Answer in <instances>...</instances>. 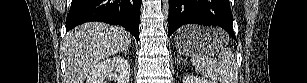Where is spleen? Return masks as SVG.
I'll return each instance as SVG.
<instances>
[{
    "label": "spleen",
    "instance_id": "3e777b00",
    "mask_svg": "<svg viewBox=\"0 0 307 83\" xmlns=\"http://www.w3.org/2000/svg\"><path fill=\"white\" fill-rule=\"evenodd\" d=\"M210 33L221 34L224 32L220 29L218 31L211 29ZM226 36L229 38L228 35ZM191 57L195 69L205 77L211 79L213 83H238V66L234 54L229 48L223 47L221 49L218 60L202 53L195 54Z\"/></svg>",
    "mask_w": 307,
    "mask_h": 83
}]
</instances>
